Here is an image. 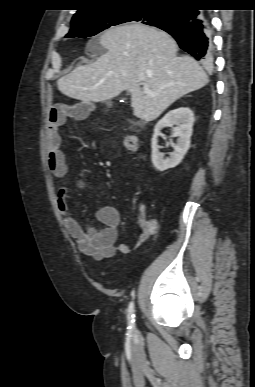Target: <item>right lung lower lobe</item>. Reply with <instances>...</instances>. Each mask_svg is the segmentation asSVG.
I'll list each match as a JSON object with an SVG mask.
<instances>
[{
  "label": "right lung lower lobe",
  "mask_w": 255,
  "mask_h": 387,
  "mask_svg": "<svg viewBox=\"0 0 255 387\" xmlns=\"http://www.w3.org/2000/svg\"><path fill=\"white\" fill-rule=\"evenodd\" d=\"M158 28L173 36L179 47L196 60L206 65L213 62L210 20L197 4L174 8L170 22Z\"/></svg>",
  "instance_id": "right-lung-lower-lobe-1"
}]
</instances>
